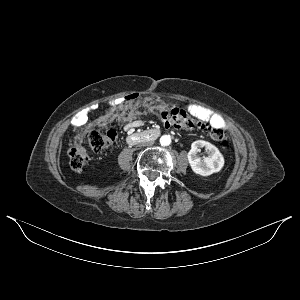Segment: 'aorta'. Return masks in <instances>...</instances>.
<instances>
[{"label": "aorta", "instance_id": "aorta-1", "mask_svg": "<svg viewBox=\"0 0 300 300\" xmlns=\"http://www.w3.org/2000/svg\"><path fill=\"white\" fill-rule=\"evenodd\" d=\"M170 143H171V137H170V135H163V136H161V138H160V144L162 146H169Z\"/></svg>", "mask_w": 300, "mask_h": 300}]
</instances>
